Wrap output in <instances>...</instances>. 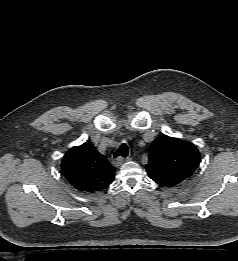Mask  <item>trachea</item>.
Returning <instances> with one entry per match:
<instances>
[{"mask_svg":"<svg viewBox=\"0 0 238 261\" xmlns=\"http://www.w3.org/2000/svg\"><path fill=\"white\" fill-rule=\"evenodd\" d=\"M121 156V157H127L128 156V148L126 144H122L120 148L115 152L114 158Z\"/></svg>","mask_w":238,"mask_h":261,"instance_id":"3493384b","label":"trachea"}]
</instances>
